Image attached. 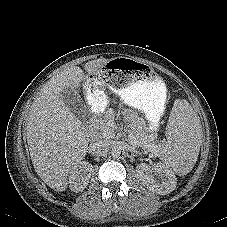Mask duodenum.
<instances>
[{
	"label": "duodenum",
	"instance_id": "obj_1",
	"mask_svg": "<svg viewBox=\"0 0 227 227\" xmlns=\"http://www.w3.org/2000/svg\"><path fill=\"white\" fill-rule=\"evenodd\" d=\"M96 125H97V118L96 117H92L89 120L88 127H87L89 133L92 134L95 131Z\"/></svg>",
	"mask_w": 227,
	"mask_h": 227
}]
</instances>
